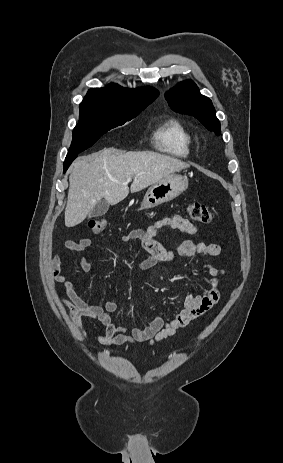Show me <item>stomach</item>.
<instances>
[{
    "label": "stomach",
    "instance_id": "obj_1",
    "mask_svg": "<svg viewBox=\"0 0 283 463\" xmlns=\"http://www.w3.org/2000/svg\"><path fill=\"white\" fill-rule=\"evenodd\" d=\"M188 188V179L179 175H169L152 184L147 190L140 210H147L173 200Z\"/></svg>",
    "mask_w": 283,
    "mask_h": 463
}]
</instances>
